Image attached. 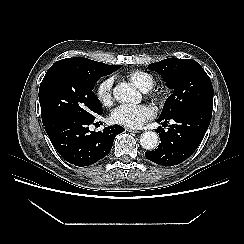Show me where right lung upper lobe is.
<instances>
[{
    "mask_svg": "<svg viewBox=\"0 0 244 244\" xmlns=\"http://www.w3.org/2000/svg\"><path fill=\"white\" fill-rule=\"evenodd\" d=\"M72 63L73 65L78 66L79 68L86 69V70H97L99 68H107L110 65L101 63V62H96L87 58H81V57H74V58H66L59 60L55 62V64H61V63Z\"/></svg>",
    "mask_w": 244,
    "mask_h": 244,
    "instance_id": "right-lung-upper-lobe-1",
    "label": "right lung upper lobe"
}]
</instances>
